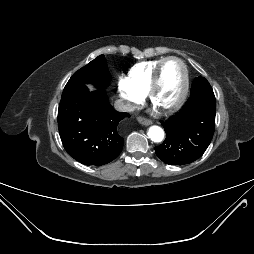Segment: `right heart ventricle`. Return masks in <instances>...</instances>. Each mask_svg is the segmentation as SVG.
<instances>
[{"mask_svg": "<svg viewBox=\"0 0 254 254\" xmlns=\"http://www.w3.org/2000/svg\"><path fill=\"white\" fill-rule=\"evenodd\" d=\"M164 58L143 61L135 64L128 73V79L133 87L141 94H146L150 86L154 71Z\"/></svg>", "mask_w": 254, "mask_h": 254, "instance_id": "right-heart-ventricle-1", "label": "right heart ventricle"}]
</instances>
